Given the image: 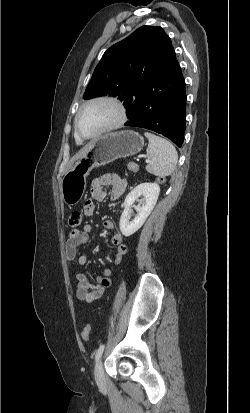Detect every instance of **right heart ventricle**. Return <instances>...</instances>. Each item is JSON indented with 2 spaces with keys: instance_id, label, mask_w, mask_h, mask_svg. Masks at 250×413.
I'll return each mask as SVG.
<instances>
[{
  "instance_id": "e07e8e85",
  "label": "right heart ventricle",
  "mask_w": 250,
  "mask_h": 413,
  "mask_svg": "<svg viewBox=\"0 0 250 413\" xmlns=\"http://www.w3.org/2000/svg\"><path fill=\"white\" fill-rule=\"evenodd\" d=\"M76 142H77L78 144H80V143H81V140H80L78 137H76Z\"/></svg>"
}]
</instances>
